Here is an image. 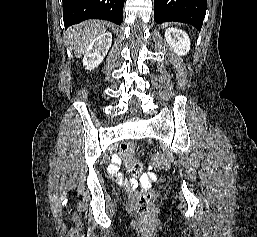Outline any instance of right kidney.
I'll list each match as a JSON object with an SVG mask.
<instances>
[{
  "mask_svg": "<svg viewBox=\"0 0 257 237\" xmlns=\"http://www.w3.org/2000/svg\"><path fill=\"white\" fill-rule=\"evenodd\" d=\"M111 44L112 34L110 32H105L95 38L84 54L83 65L85 68L92 70L97 67L103 61Z\"/></svg>",
  "mask_w": 257,
  "mask_h": 237,
  "instance_id": "obj_1",
  "label": "right kidney"
}]
</instances>
